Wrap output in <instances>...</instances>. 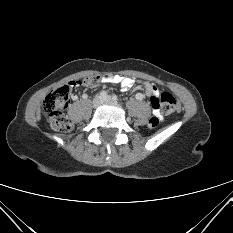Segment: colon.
Instances as JSON below:
<instances>
[{
	"mask_svg": "<svg viewBox=\"0 0 233 233\" xmlns=\"http://www.w3.org/2000/svg\"><path fill=\"white\" fill-rule=\"evenodd\" d=\"M101 75H91L83 78L84 87L93 88L98 86ZM68 84L60 86L52 90L43 102V111L46 115L50 127L59 132H69L73 128L72 121L64 114V110L68 107L71 99V92ZM152 105L156 106L160 112L165 115L173 114L177 109V101L169 92H163L157 98L152 99ZM159 124L157 117H152L148 121L150 128H155Z\"/></svg>",
	"mask_w": 233,
	"mask_h": 233,
	"instance_id": "obj_1",
	"label": "colon"
}]
</instances>
